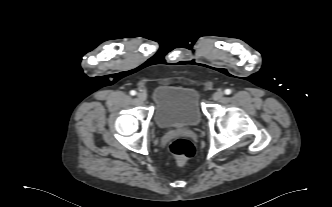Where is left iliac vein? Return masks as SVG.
Returning <instances> with one entry per match:
<instances>
[{
	"instance_id": "left-iliac-vein-1",
	"label": "left iliac vein",
	"mask_w": 332,
	"mask_h": 207,
	"mask_svg": "<svg viewBox=\"0 0 332 207\" xmlns=\"http://www.w3.org/2000/svg\"><path fill=\"white\" fill-rule=\"evenodd\" d=\"M223 96H224V93L221 91V90H218V91H216L214 94H213V100H215V101H219V100H221L222 98H223Z\"/></svg>"
}]
</instances>
